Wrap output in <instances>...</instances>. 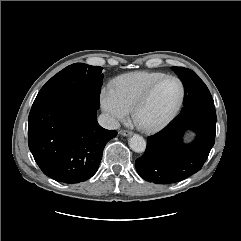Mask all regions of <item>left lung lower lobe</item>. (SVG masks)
Here are the masks:
<instances>
[{
	"mask_svg": "<svg viewBox=\"0 0 241 241\" xmlns=\"http://www.w3.org/2000/svg\"><path fill=\"white\" fill-rule=\"evenodd\" d=\"M187 129L196 132L190 144L181 141ZM214 104L181 111L163 130L147 138L145 153L136 159L138 174L148 182L170 184L198 172L215 142Z\"/></svg>",
	"mask_w": 241,
	"mask_h": 241,
	"instance_id": "1",
	"label": "left lung lower lobe"
}]
</instances>
